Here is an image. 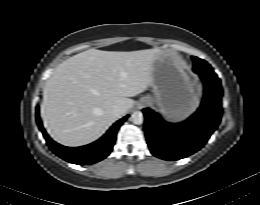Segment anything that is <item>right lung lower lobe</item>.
Returning <instances> with one entry per match:
<instances>
[{"instance_id": "obj_1", "label": "right lung lower lobe", "mask_w": 260, "mask_h": 205, "mask_svg": "<svg viewBox=\"0 0 260 205\" xmlns=\"http://www.w3.org/2000/svg\"><path fill=\"white\" fill-rule=\"evenodd\" d=\"M127 117L117 121L102 138L92 144L82 147H65L54 142L47 135L40 120L39 106L36 107V120L49 148L60 158L78 165L93 164L107 157L112 151L117 131Z\"/></svg>"}]
</instances>
